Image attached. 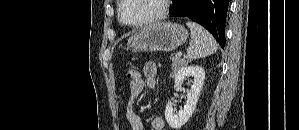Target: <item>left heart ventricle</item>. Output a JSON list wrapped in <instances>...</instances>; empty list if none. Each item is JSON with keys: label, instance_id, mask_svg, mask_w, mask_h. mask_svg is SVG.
Instances as JSON below:
<instances>
[{"label": "left heart ventricle", "instance_id": "left-heart-ventricle-1", "mask_svg": "<svg viewBox=\"0 0 299 130\" xmlns=\"http://www.w3.org/2000/svg\"><path fill=\"white\" fill-rule=\"evenodd\" d=\"M160 8V0H129L123 7L122 18L127 23H135L155 15Z\"/></svg>", "mask_w": 299, "mask_h": 130}]
</instances>
